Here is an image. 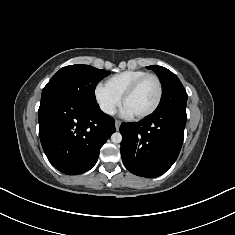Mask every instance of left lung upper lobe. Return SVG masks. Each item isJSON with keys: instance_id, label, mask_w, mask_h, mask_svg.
<instances>
[{"instance_id": "obj_1", "label": "left lung upper lobe", "mask_w": 235, "mask_h": 235, "mask_svg": "<svg viewBox=\"0 0 235 235\" xmlns=\"http://www.w3.org/2000/svg\"><path fill=\"white\" fill-rule=\"evenodd\" d=\"M147 68L153 70L158 75L162 84V97L156 110L174 105L186 107L188 96L178 77L162 66L152 65Z\"/></svg>"}]
</instances>
